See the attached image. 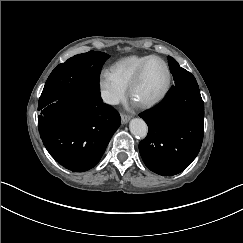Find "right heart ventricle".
<instances>
[{
	"label": "right heart ventricle",
	"mask_w": 243,
	"mask_h": 243,
	"mask_svg": "<svg viewBox=\"0 0 243 243\" xmlns=\"http://www.w3.org/2000/svg\"><path fill=\"white\" fill-rule=\"evenodd\" d=\"M155 56L154 54H130L116 60L112 64V68L118 80L128 88L129 83L137 73L140 65Z\"/></svg>",
	"instance_id": "1"
}]
</instances>
